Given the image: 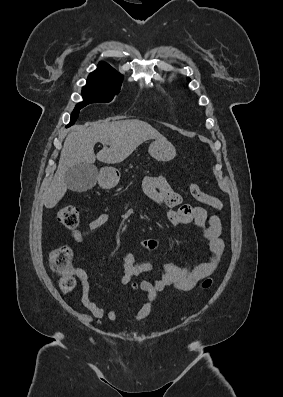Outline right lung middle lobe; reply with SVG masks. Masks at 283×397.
<instances>
[{
	"label": "right lung middle lobe",
	"mask_w": 283,
	"mask_h": 397,
	"mask_svg": "<svg viewBox=\"0 0 283 397\" xmlns=\"http://www.w3.org/2000/svg\"><path fill=\"white\" fill-rule=\"evenodd\" d=\"M121 81H89L82 88L83 102L76 105L71 114L70 125L78 118L79 110L90 103H108L120 92Z\"/></svg>",
	"instance_id": "obj_1"
}]
</instances>
